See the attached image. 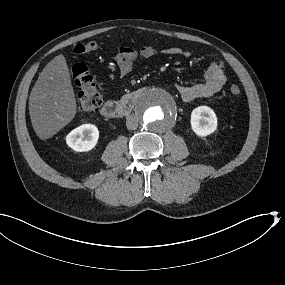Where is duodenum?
I'll use <instances>...</instances> for the list:
<instances>
[{"instance_id":"410a0bca","label":"duodenum","mask_w":285,"mask_h":285,"mask_svg":"<svg viewBox=\"0 0 285 285\" xmlns=\"http://www.w3.org/2000/svg\"><path fill=\"white\" fill-rule=\"evenodd\" d=\"M143 89H138L123 96L119 100L107 101L101 108V114L108 119H120L128 116L141 97Z\"/></svg>"}]
</instances>
